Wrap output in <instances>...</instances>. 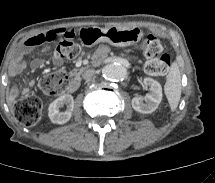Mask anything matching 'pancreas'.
<instances>
[{
  "label": "pancreas",
  "mask_w": 215,
  "mask_h": 183,
  "mask_svg": "<svg viewBox=\"0 0 215 183\" xmlns=\"http://www.w3.org/2000/svg\"><path fill=\"white\" fill-rule=\"evenodd\" d=\"M141 62V61H139ZM83 72V69H80L78 72L74 70V72H71V75H80Z\"/></svg>",
  "instance_id": "obj_1"
}]
</instances>
